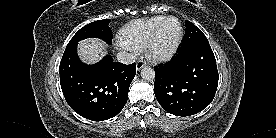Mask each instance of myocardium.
<instances>
[{"mask_svg":"<svg viewBox=\"0 0 276 138\" xmlns=\"http://www.w3.org/2000/svg\"><path fill=\"white\" fill-rule=\"evenodd\" d=\"M170 20H175L179 24V34L175 40V42L172 44L171 47L168 49L162 50L158 47L159 38L161 35V32L166 25V23ZM184 37V28L181 23V21L174 17V16H168L166 17L155 29L154 33L152 34V37L150 38L147 46H146V56L149 60L153 62H162L170 59L179 49L182 40Z\"/></svg>","mask_w":276,"mask_h":138,"instance_id":"1","label":"myocardium"}]
</instances>
